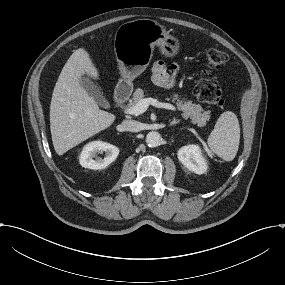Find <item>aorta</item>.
<instances>
[{
  "label": "aorta",
  "mask_w": 285,
  "mask_h": 285,
  "mask_svg": "<svg viewBox=\"0 0 285 285\" xmlns=\"http://www.w3.org/2000/svg\"><path fill=\"white\" fill-rule=\"evenodd\" d=\"M146 143L149 147H157L161 144V135L158 132L152 131L146 135Z\"/></svg>",
  "instance_id": "aorta-1"
}]
</instances>
